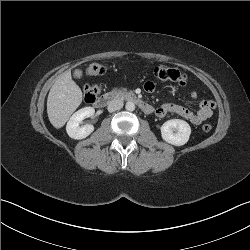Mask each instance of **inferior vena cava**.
I'll use <instances>...</instances> for the list:
<instances>
[{"mask_svg":"<svg viewBox=\"0 0 250 250\" xmlns=\"http://www.w3.org/2000/svg\"><path fill=\"white\" fill-rule=\"evenodd\" d=\"M123 101L119 99H114L108 104V111L115 112L116 110H120L123 107Z\"/></svg>","mask_w":250,"mask_h":250,"instance_id":"obj_1","label":"inferior vena cava"}]
</instances>
